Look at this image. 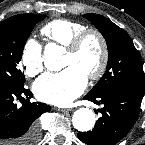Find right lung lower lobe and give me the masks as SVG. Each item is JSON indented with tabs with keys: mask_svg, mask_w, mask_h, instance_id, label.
Returning a JSON list of instances; mask_svg holds the SVG:
<instances>
[{
	"mask_svg": "<svg viewBox=\"0 0 145 145\" xmlns=\"http://www.w3.org/2000/svg\"><path fill=\"white\" fill-rule=\"evenodd\" d=\"M32 97L30 90L0 84V145H36L40 138L38 118L51 107L26 99L21 108L14 100Z\"/></svg>",
	"mask_w": 145,
	"mask_h": 145,
	"instance_id": "obj_1",
	"label": "right lung lower lobe"
}]
</instances>
